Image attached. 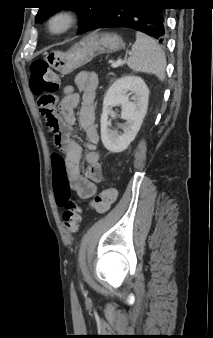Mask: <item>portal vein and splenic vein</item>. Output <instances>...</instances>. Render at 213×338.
Masks as SVG:
<instances>
[{
	"label": "portal vein and splenic vein",
	"mask_w": 213,
	"mask_h": 338,
	"mask_svg": "<svg viewBox=\"0 0 213 338\" xmlns=\"http://www.w3.org/2000/svg\"><path fill=\"white\" fill-rule=\"evenodd\" d=\"M122 63H123V60L119 59V60H117L116 62H112V63H111V66H112L113 68H116V67L120 66Z\"/></svg>",
	"instance_id": "1"
}]
</instances>
